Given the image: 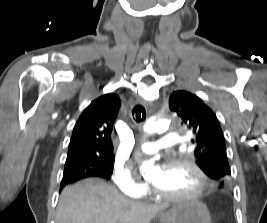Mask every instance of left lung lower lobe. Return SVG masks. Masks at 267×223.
I'll use <instances>...</instances> for the list:
<instances>
[{
  "mask_svg": "<svg viewBox=\"0 0 267 223\" xmlns=\"http://www.w3.org/2000/svg\"><path fill=\"white\" fill-rule=\"evenodd\" d=\"M215 190H221V195H228L230 182H215Z\"/></svg>",
  "mask_w": 267,
  "mask_h": 223,
  "instance_id": "obj_1",
  "label": "left lung lower lobe"
}]
</instances>
